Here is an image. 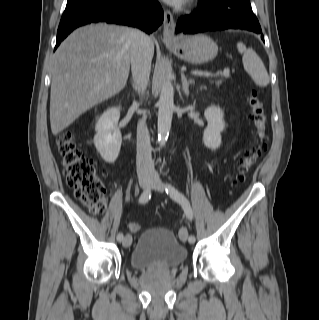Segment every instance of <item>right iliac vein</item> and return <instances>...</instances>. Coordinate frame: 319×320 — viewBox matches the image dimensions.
<instances>
[{
  "instance_id": "obj_1",
  "label": "right iliac vein",
  "mask_w": 319,
  "mask_h": 320,
  "mask_svg": "<svg viewBox=\"0 0 319 320\" xmlns=\"http://www.w3.org/2000/svg\"><path fill=\"white\" fill-rule=\"evenodd\" d=\"M151 184V179L148 177H142L139 179V185L141 188H147ZM132 243V237L130 234H126L123 241L122 245L125 248H128Z\"/></svg>"
}]
</instances>
